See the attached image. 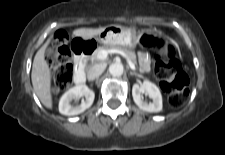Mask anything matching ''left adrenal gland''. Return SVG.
I'll return each instance as SVG.
<instances>
[{
	"instance_id": "a2214340",
	"label": "left adrenal gland",
	"mask_w": 225,
	"mask_h": 155,
	"mask_svg": "<svg viewBox=\"0 0 225 155\" xmlns=\"http://www.w3.org/2000/svg\"><path fill=\"white\" fill-rule=\"evenodd\" d=\"M130 75H132V76H137L138 74L135 73V72H130Z\"/></svg>"
}]
</instances>
